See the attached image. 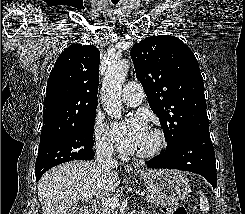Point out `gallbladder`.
I'll return each mask as SVG.
<instances>
[{"mask_svg": "<svg viewBox=\"0 0 245 214\" xmlns=\"http://www.w3.org/2000/svg\"><path fill=\"white\" fill-rule=\"evenodd\" d=\"M77 210H78L77 206L72 207L69 210H67L66 214H75Z\"/></svg>", "mask_w": 245, "mask_h": 214, "instance_id": "obj_1", "label": "gallbladder"}]
</instances>
